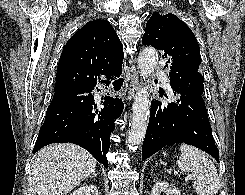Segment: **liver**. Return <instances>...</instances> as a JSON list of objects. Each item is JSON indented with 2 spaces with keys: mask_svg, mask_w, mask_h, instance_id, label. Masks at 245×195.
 I'll list each match as a JSON object with an SVG mask.
<instances>
[{
  "mask_svg": "<svg viewBox=\"0 0 245 195\" xmlns=\"http://www.w3.org/2000/svg\"><path fill=\"white\" fill-rule=\"evenodd\" d=\"M97 161L72 143L51 144L36 154L29 184L32 195H67L94 172Z\"/></svg>",
  "mask_w": 245,
  "mask_h": 195,
  "instance_id": "obj_1",
  "label": "liver"
}]
</instances>
